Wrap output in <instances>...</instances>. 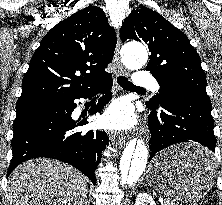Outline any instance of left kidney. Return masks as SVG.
<instances>
[{
	"mask_svg": "<svg viewBox=\"0 0 222 205\" xmlns=\"http://www.w3.org/2000/svg\"><path fill=\"white\" fill-rule=\"evenodd\" d=\"M135 205H156L155 201L147 193L138 194Z\"/></svg>",
	"mask_w": 222,
	"mask_h": 205,
	"instance_id": "left-kidney-1",
	"label": "left kidney"
}]
</instances>
